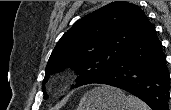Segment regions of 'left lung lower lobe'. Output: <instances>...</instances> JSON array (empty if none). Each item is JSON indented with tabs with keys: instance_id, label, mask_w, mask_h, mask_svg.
Listing matches in <instances>:
<instances>
[{
	"instance_id": "1",
	"label": "left lung lower lobe",
	"mask_w": 171,
	"mask_h": 110,
	"mask_svg": "<svg viewBox=\"0 0 171 110\" xmlns=\"http://www.w3.org/2000/svg\"><path fill=\"white\" fill-rule=\"evenodd\" d=\"M169 81L165 53L154 25L149 23L145 34L110 72L95 83L126 90L147 103L152 110H170Z\"/></svg>"
}]
</instances>
